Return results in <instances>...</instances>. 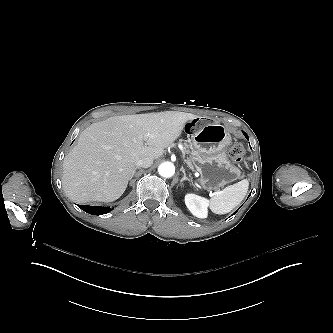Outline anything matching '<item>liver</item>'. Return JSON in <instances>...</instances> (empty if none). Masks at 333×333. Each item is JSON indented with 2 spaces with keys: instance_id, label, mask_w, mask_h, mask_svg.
Returning <instances> with one entry per match:
<instances>
[{
  "instance_id": "6515ba94",
  "label": "liver",
  "mask_w": 333,
  "mask_h": 333,
  "mask_svg": "<svg viewBox=\"0 0 333 333\" xmlns=\"http://www.w3.org/2000/svg\"><path fill=\"white\" fill-rule=\"evenodd\" d=\"M191 113L115 116L91 124L63 162V189L75 203L112 202L125 191L140 158L158 159L179 139Z\"/></svg>"
}]
</instances>
